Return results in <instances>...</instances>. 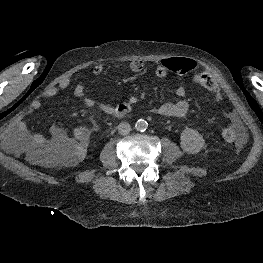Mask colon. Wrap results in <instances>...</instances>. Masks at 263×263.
<instances>
[{
  "mask_svg": "<svg viewBox=\"0 0 263 263\" xmlns=\"http://www.w3.org/2000/svg\"><path fill=\"white\" fill-rule=\"evenodd\" d=\"M167 66L173 73L180 76L188 74L195 67L190 60L177 57L171 58L167 62ZM194 82L211 91L217 101L223 102L225 100L224 93L211 75L207 73L196 74L194 76ZM232 112V108H228L226 115L231 116ZM223 135L225 141L236 148L242 147L245 143L246 135L240 126L234 125L227 127ZM85 142L86 139L83 135H72L65 144L59 146L51 152L50 155L52 158L62 161H75L83 155Z\"/></svg>",
  "mask_w": 263,
  "mask_h": 263,
  "instance_id": "1",
  "label": "colon"
}]
</instances>
